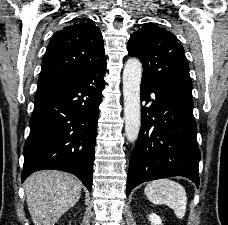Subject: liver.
Listing matches in <instances>:
<instances>
[{"label":"liver","mask_w":228,"mask_h":225,"mask_svg":"<svg viewBox=\"0 0 228 225\" xmlns=\"http://www.w3.org/2000/svg\"><path fill=\"white\" fill-rule=\"evenodd\" d=\"M82 183L60 171H38L24 183L26 203L34 225H56L78 203Z\"/></svg>","instance_id":"obj_1"}]
</instances>
